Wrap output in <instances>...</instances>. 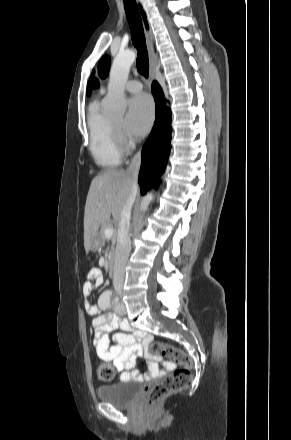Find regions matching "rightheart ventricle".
I'll use <instances>...</instances> for the list:
<instances>
[{
    "instance_id": "right-heart-ventricle-1",
    "label": "right heart ventricle",
    "mask_w": 291,
    "mask_h": 440,
    "mask_svg": "<svg viewBox=\"0 0 291 440\" xmlns=\"http://www.w3.org/2000/svg\"><path fill=\"white\" fill-rule=\"evenodd\" d=\"M111 120L101 112L98 101L90 105L88 114L90 152L96 164L104 168L117 167L122 160Z\"/></svg>"
}]
</instances>
